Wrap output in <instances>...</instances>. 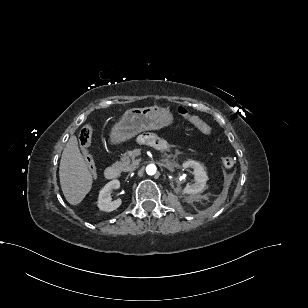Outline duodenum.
I'll list each match as a JSON object with an SVG mask.
<instances>
[{
    "instance_id": "duodenum-1",
    "label": "duodenum",
    "mask_w": 308,
    "mask_h": 308,
    "mask_svg": "<svg viewBox=\"0 0 308 308\" xmlns=\"http://www.w3.org/2000/svg\"><path fill=\"white\" fill-rule=\"evenodd\" d=\"M163 146L160 145V148ZM104 175L108 180L118 179L120 176V169L117 166H109L105 169Z\"/></svg>"
}]
</instances>
